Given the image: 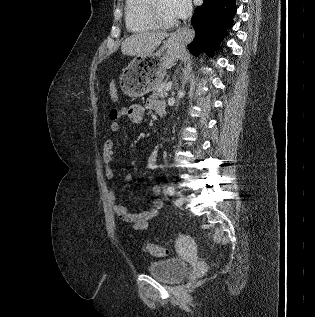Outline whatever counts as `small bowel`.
Returning a JSON list of instances; mask_svg holds the SVG:
<instances>
[{
    "instance_id": "1",
    "label": "small bowel",
    "mask_w": 315,
    "mask_h": 317,
    "mask_svg": "<svg viewBox=\"0 0 315 317\" xmlns=\"http://www.w3.org/2000/svg\"><path fill=\"white\" fill-rule=\"evenodd\" d=\"M147 109L153 110L157 113L160 111H165V104L156 99L147 100L146 104L139 105L134 104L127 108L121 109H112L109 113L110 124L109 129L112 132H116L120 128V119L127 117L133 124H140L145 116ZM114 142L111 139H108L104 142L103 145V163L105 167V176L107 179L112 180L114 178ZM157 147L151 152L147 159V168L155 170L158 168L157 164ZM126 182L132 181L131 175H126ZM152 193L154 195H159L161 193L160 185H154L152 187ZM109 201L112 204L113 211L115 215L122 221L132 224L133 230H147L149 228V221L158 215L159 210L163 206V202L160 199H155L153 201L152 208L147 211L142 212H129L126 207L122 204L116 202V195L114 192H110Z\"/></svg>"
}]
</instances>
